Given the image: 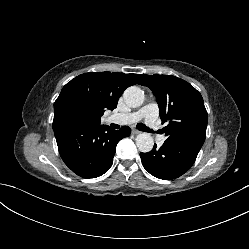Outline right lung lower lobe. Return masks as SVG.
I'll return each instance as SVG.
<instances>
[{"instance_id":"right-lung-lower-lobe-1","label":"right lung lower lobe","mask_w":249,"mask_h":249,"mask_svg":"<svg viewBox=\"0 0 249 249\" xmlns=\"http://www.w3.org/2000/svg\"><path fill=\"white\" fill-rule=\"evenodd\" d=\"M59 153L65 164L83 178H96L113 164L117 143L131 133L128 126L87 127L67 122L53 124Z\"/></svg>"}]
</instances>
